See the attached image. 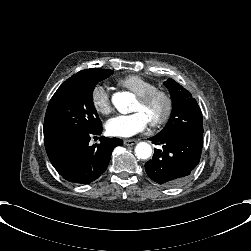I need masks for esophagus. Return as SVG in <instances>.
Returning a JSON list of instances; mask_svg holds the SVG:
<instances>
[{"label":"esophagus","instance_id":"obj_1","mask_svg":"<svg viewBox=\"0 0 251 251\" xmlns=\"http://www.w3.org/2000/svg\"><path fill=\"white\" fill-rule=\"evenodd\" d=\"M137 142H138L137 140H130V139H125L124 140V144L126 146H132V145L136 144Z\"/></svg>","mask_w":251,"mask_h":251}]
</instances>
